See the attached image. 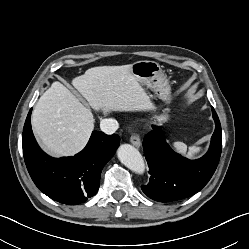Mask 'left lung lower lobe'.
Here are the masks:
<instances>
[{
  "instance_id": "0a47b994",
  "label": "left lung lower lobe",
  "mask_w": 249,
  "mask_h": 249,
  "mask_svg": "<svg viewBox=\"0 0 249 249\" xmlns=\"http://www.w3.org/2000/svg\"><path fill=\"white\" fill-rule=\"evenodd\" d=\"M215 131L208 152L200 159L189 160L175 153L164 139L159 126L146 136L143 147L151 175L143 192L153 200L169 202L187 198L200 191L218 165L221 149V125L212 107Z\"/></svg>"
}]
</instances>
